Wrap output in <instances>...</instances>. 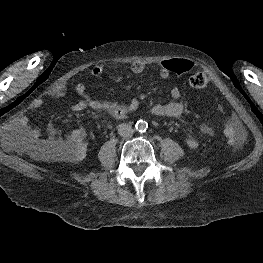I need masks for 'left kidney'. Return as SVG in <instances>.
Masks as SVG:
<instances>
[{
	"instance_id": "obj_1",
	"label": "left kidney",
	"mask_w": 263,
	"mask_h": 263,
	"mask_svg": "<svg viewBox=\"0 0 263 263\" xmlns=\"http://www.w3.org/2000/svg\"><path fill=\"white\" fill-rule=\"evenodd\" d=\"M186 145L191 149H196L198 147V141L191 135L186 139Z\"/></svg>"
}]
</instances>
